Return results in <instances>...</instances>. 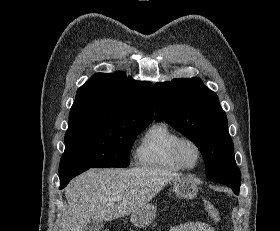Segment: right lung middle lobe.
I'll list each match as a JSON object with an SVG mask.
<instances>
[{
	"label": "right lung middle lobe",
	"mask_w": 280,
	"mask_h": 231,
	"mask_svg": "<svg viewBox=\"0 0 280 231\" xmlns=\"http://www.w3.org/2000/svg\"><path fill=\"white\" fill-rule=\"evenodd\" d=\"M150 123L112 118H73L60 166L127 167L136 136Z\"/></svg>",
	"instance_id": "dd1d6c3e"
}]
</instances>
